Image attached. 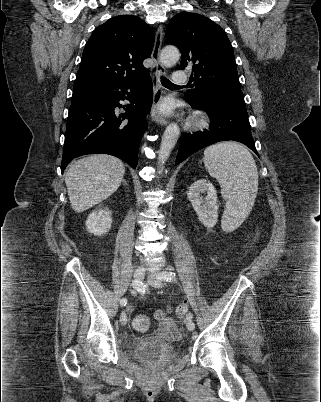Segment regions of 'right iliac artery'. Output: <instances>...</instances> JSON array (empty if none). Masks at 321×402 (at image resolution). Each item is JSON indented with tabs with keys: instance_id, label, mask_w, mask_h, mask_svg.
I'll return each mask as SVG.
<instances>
[{
	"instance_id": "1",
	"label": "right iliac artery",
	"mask_w": 321,
	"mask_h": 402,
	"mask_svg": "<svg viewBox=\"0 0 321 402\" xmlns=\"http://www.w3.org/2000/svg\"><path fill=\"white\" fill-rule=\"evenodd\" d=\"M132 285H133V288L135 289V290L132 291L133 294L136 293V290H137L138 292H142V287H141L140 283L134 282ZM120 304H121V306H125V305L127 304V299H126V298H122V299L120 300Z\"/></svg>"
}]
</instances>
